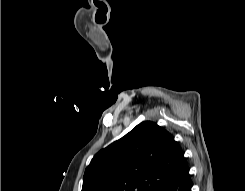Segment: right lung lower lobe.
<instances>
[{
    "mask_svg": "<svg viewBox=\"0 0 245 191\" xmlns=\"http://www.w3.org/2000/svg\"><path fill=\"white\" fill-rule=\"evenodd\" d=\"M191 180L189 171L176 180L166 184L159 191H191Z\"/></svg>",
    "mask_w": 245,
    "mask_h": 191,
    "instance_id": "obj_1",
    "label": "right lung lower lobe"
}]
</instances>
